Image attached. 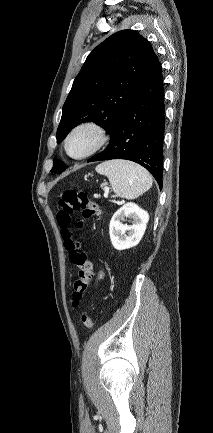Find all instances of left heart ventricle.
I'll return each instance as SVG.
<instances>
[{
  "label": "left heart ventricle",
  "mask_w": 213,
  "mask_h": 433,
  "mask_svg": "<svg viewBox=\"0 0 213 433\" xmlns=\"http://www.w3.org/2000/svg\"><path fill=\"white\" fill-rule=\"evenodd\" d=\"M96 136L93 132L84 130L76 133L69 141V151L73 156L86 153L94 145Z\"/></svg>",
  "instance_id": "left-heart-ventricle-1"
}]
</instances>
